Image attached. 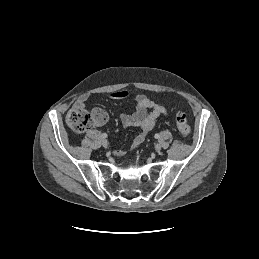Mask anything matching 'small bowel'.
I'll list each match as a JSON object with an SVG mask.
<instances>
[{"mask_svg": "<svg viewBox=\"0 0 259 259\" xmlns=\"http://www.w3.org/2000/svg\"><path fill=\"white\" fill-rule=\"evenodd\" d=\"M128 96L127 91H117L110 94L114 99H122ZM88 97L82 96L76 101L77 106H84ZM167 110L164 105L156 103L142 94L135 95V111L131 114H122L121 123L124 127H136L138 134L134 137L131 149L139 147L146 138V135L152 130L156 121L162 115H166ZM93 118L96 126L104 125L108 120L107 112L99 107L93 109ZM115 154L121 156L123 149H117Z\"/></svg>", "mask_w": 259, "mask_h": 259, "instance_id": "small-bowel-1", "label": "small bowel"}]
</instances>
